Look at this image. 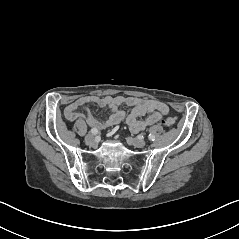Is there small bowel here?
<instances>
[{
	"instance_id": "1",
	"label": "small bowel",
	"mask_w": 239,
	"mask_h": 239,
	"mask_svg": "<svg viewBox=\"0 0 239 239\" xmlns=\"http://www.w3.org/2000/svg\"><path fill=\"white\" fill-rule=\"evenodd\" d=\"M91 103L100 107H108L111 110L110 115L104 119H97L88 112L79 111ZM123 104L131 107L126 123L133 132H139L155 124L170 112L168 105L158 100L123 96H83L69 103L64 110V115L68 121L83 119L92 128L106 129L120 123L125 118V112L120 108ZM144 116L145 118L141 119Z\"/></svg>"
}]
</instances>
